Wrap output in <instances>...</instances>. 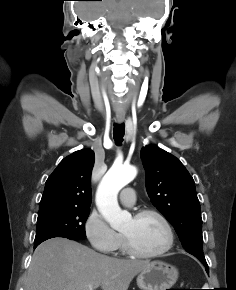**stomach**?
<instances>
[{"instance_id": "1", "label": "stomach", "mask_w": 236, "mask_h": 290, "mask_svg": "<svg viewBox=\"0 0 236 290\" xmlns=\"http://www.w3.org/2000/svg\"><path fill=\"white\" fill-rule=\"evenodd\" d=\"M178 270L167 263L153 261L139 272L137 285L141 290H166L176 283Z\"/></svg>"}]
</instances>
